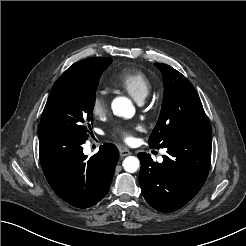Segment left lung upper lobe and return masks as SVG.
<instances>
[{"label": "left lung upper lobe", "instance_id": "obj_1", "mask_svg": "<svg viewBox=\"0 0 246 246\" xmlns=\"http://www.w3.org/2000/svg\"><path fill=\"white\" fill-rule=\"evenodd\" d=\"M154 64L162 72L165 90L149 145L161 148L175 139L211 138V126L190 81L169 65Z\"/></svg>", "mask_w": 246, "mask_h": 246}]
</instances>
